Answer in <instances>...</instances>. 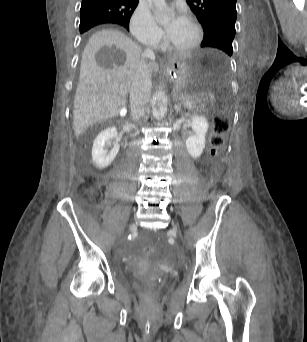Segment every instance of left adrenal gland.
Listing matches in <instances>:
<instances>
[{"mask_svg":"<svg viewBox=\"0 0 307 342\" xmlns=\"http://www.w3.org/2000/svg\"><path fill=\"white\" fill-rule=\"evenodd\" d=\"M174 102H175L174 108H175L176 112H178L180 104H179V102H177V100H174Z\"/></svg>","mask_w":307,"mask_h":342,"instance_id":"left-adrenal-gland-1","label":"left adrenal gland"}]
</instances>
